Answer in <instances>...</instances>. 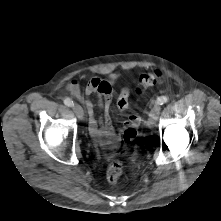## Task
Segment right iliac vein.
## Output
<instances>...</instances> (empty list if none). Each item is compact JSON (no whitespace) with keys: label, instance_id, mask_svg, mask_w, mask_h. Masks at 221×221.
<instances>
[{"label":"right iliac vein","instance_id":"63e3f726","mask_svg":"<svg viewBox=\"0 0 221 221\" xmlns=\"http://www.w3.org/2000/svg\"><path fill=\"white\" fill-rule=\"evenodd\" d=\"M73 111L75 112V114L77 115V117L80 120L84 119V111H83V109H82V107L80 105L74 104L73 105Z\"/></svg>","mask_w":221,"mask_h":221}]
</instances>
